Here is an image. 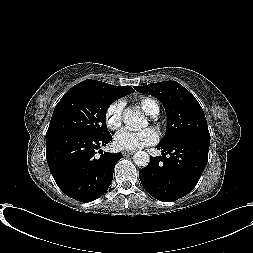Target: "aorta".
<instances>
[{
	"instance_id": "1",
	"label": "aorta",
	"mask_w": 253,
	"mask_h": 253,
	"mask_svg": "<svg viewBox=\"0 0 253 253\" xmlns=\"http://www.w3.org/2000/svg\"><path fill=\"white\" fill-rule=\"evenodd\" d=\"M123 122L128 128L140 129L145 126L146 120L138 111L127 109L123 113ZM136 165L145 167L150 162V156L145 151H138L133 156Z\"/></svg>"
}]
</instances>
